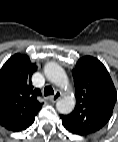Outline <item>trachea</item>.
Masks as SVG:
<instances>
[{
    "label": "trachea",
    "instance_id": "obj_1",
    "mask_svg": "<svg viewBox=\"0 0 118 142\" xmlns=\"http://www.w3.org/2000/svg\"><path fill=\"white\" fill-rule=\"evenodd\" d=\"M54 94V90L51 86H46L44 88V95L48 96V95H53Z\"/></svg>",
    "mask_w": 118,
    "mask_h": 142
}]
</instances>
